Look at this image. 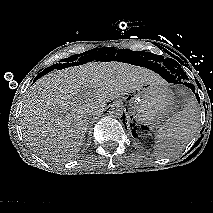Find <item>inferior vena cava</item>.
<instances>
[{
    "label": "inferior vena cava",
    "mask_w": 213,
    "mask_h": 213,
    "mask_svg": "<svg viewBox=\"0 0 213 213\" xmlns=\"http://www.w3.org/2000/svg\"><path fill=\"white\" fill-rule=\"evenodd\" d=\"M98 115H99V114H98V112H96V111L91 113V117H92V118H96V117H98Z\"/></svg>",
    "instance_id": "obj_1"
}]
</instances>
